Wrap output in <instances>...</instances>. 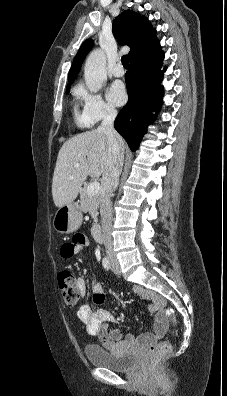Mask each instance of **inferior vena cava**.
Listing matches in <instances>:
<instances>
[{
  "instance_id": "obj_1",
  "label": "inferior vena cava",
  "mask_w": 227,
  "mask_h": 396,
  "mask_svg": "<svg viewBox=\"0 0 227 396\" xmlns=\"http://www.w3.org/2000/svg\"><path fill=\"white\" fill-rule=\"evenodd\" d=\"M117 116L115 109H108L98 130L107 136L109 159L102 176V190L100 198V214L102 219V233L106 253L111 256L112 250V204L111 196L118 185L122 171L124 153L119 141L120 136L114 129L113 123Z\"/></svg>"
}]
</instances>
